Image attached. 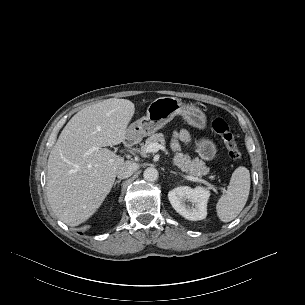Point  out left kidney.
<instances>
[{"instance_id": "1", "label": "left kidney", "mask_w": 305, "mask_h": 305, "mask_svg": "<svg viewBox=\"0 0 305 305\" xmlns=\"http://www.w3.org/2000/svg\"><path fill=\"white\" fill-rule=\"evenodd\" d=\"M209 196V191L203 187L192 189L188 186H180L168 193V199L175 211L191 221L206 218Z\"/></svg>"}]
</instances>
